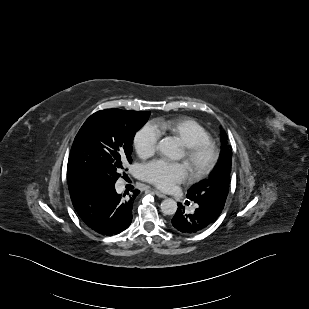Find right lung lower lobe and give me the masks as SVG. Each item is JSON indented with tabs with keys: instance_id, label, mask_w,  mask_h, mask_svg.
Listing matches in <instances>:
<instances>
[{
	"instance_id": "1",
	"label": "right lung lower lobe",
	"mask_w": 309,
	"mask_h": 309,
	"mask_svg": "<svg viewBox=\"0 0 309 309\" xmlns=\"http://www.w3.org/2000/svg\"><path fill=\"white\" fill-rule=\"evenodd\" d=\"M68 186L78 215L99 234L111 236L130 226L138 190L125 196L118 194L114 186L97 184L79 176H68Z\"/></svg>"
}]
</instances>
